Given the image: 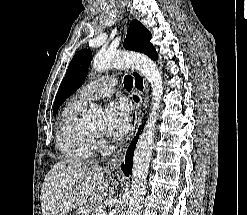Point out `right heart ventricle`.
I'll use <instances>...</instances> for the list:
<instances>
[{
    "label": "right heart ventricle",
    "mask_w": 247,
    "mask_h": 215,
    "mask_svg": "<svg viewBox=\"0 0 247 215\" xmlns=\"http://www.w3.org/2000/svg\"><path fill=\"white\" fill-rule=\"evenodd\" d=\"M85 105L76 100L66 104L56 132L57 146L63 158L70 162H86L97 149L94 135L78 124V117Z\"/></svg>",
    "instance_id": "e07e8e85"
}]
</instances>
